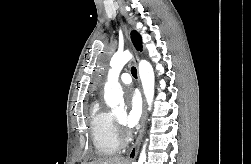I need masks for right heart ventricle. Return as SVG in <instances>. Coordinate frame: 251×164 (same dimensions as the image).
<instances>
[{
    "label": "right heart ventricle",
    "instance_id": "e07e8e85",
    "mask_svg": "<svg viewBox=\"0 0 251 164\" xmlns=\"http://www.w3.org/2000/svg\"><path fill=\"white\" fill-rule=\"evenodd\" d=\"M90 129L93 145L99 156H110L119 151L120 139L115 118L97 101L90 109Z\"/></svg>",
    "mask_w": 251,
    "mask_h": 164
}]
</instances>
